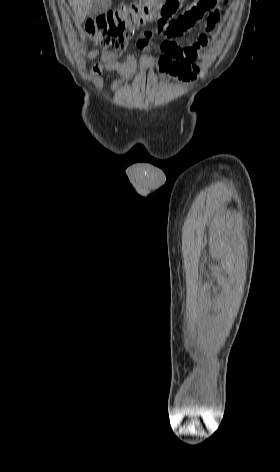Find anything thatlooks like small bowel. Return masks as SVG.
Returning a JSON list of instances; mask_svg holds the SVG:
<instances>
[{
	"mask_svg": "<svg viewBox=\"0 0 280 472\" xmlns=\"http://www.w3.org/2000/svg\"><path fill=\"white\" fill-rule=\"evenodd\" d=\"M200 1L203 0L191 2L174 19L158 21L155 31H145L138 39L137 48L143 50L147 47L148 40L153 34L163 37V42L160 45L161 55L156 63L157 71L160 74L173 76L182 81H190L196 76L197 67L194 62L197 59L199 50L207 44L208 34L214 29L216 22H208L206 33L200 35L193 46L181 48L175 39L193 29L208 12V10L199 7ZM87 55L91 59L99 58L91 68V74L97 88L103 86L101 74L104 71L118 73L119 78L112 83L110 94L135 76L137 69L135 53L126 55L122 60L111 58L105 53L99 54L98 51H89Z\"/></svg>",
	"mask_w": 280,
	"mask_h": 472,
	"instance_id": "c3829d8e",
	"label": "small bowel"
}]
</instances>
